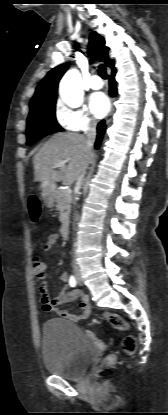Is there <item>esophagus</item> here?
<instances>
[{"label": "esophagus", "instance_id": "1", "mask_svg": "<svg viewBox=\"0 0 168 415\" xmlns=\"http://www.w3.org/2000/svg\"><path fill=\"white\" fill-rule=\"evenodd\" d=\"M111 115H112V112L110 113V115L108 116V118H107V122H109L110 120H111Z\"/></svg>", "mask_w": 168, "mask_h": 415}]
</instances>
